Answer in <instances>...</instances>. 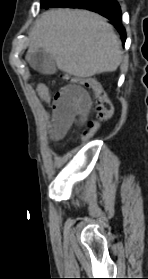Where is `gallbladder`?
<instances>
[{
    "instance_id": "1",
    "label": "gallbladder",
    "mask_w": 148,
    "mask_h": 279,
    "mask_svg": "<svg viewBox=\"0 0 148 279\" xmlns=\"http://www.w3.org/2000/svg\"><path fill=\"white\" fill-rule=\"evenodd\" d=\"M27 60L31 67L41 74L52 75L57 71L56 63L53 57L42 49L33 54H28Z\"/></svg>"
}]
</instances>
